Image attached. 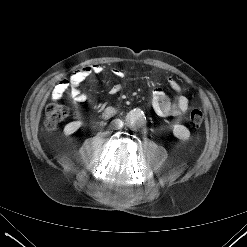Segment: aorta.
Wrapping results in <instances>:
<instances>
[{
    "label": "aorta",
    "instance_id": "aorta-1",
    "mask_svg": "<svg viewBox=\"0 0 247 247\" xmlns=\"http://www.w3.org/2000/svg\"><path fill=\"white\" fill-rule=\"evenodd\" d=\"M146 118L140 109H133L126 115V124L132 130H142L145 126Z\"/></svg>",
    "mask_w": 247,
    "mask_h": 247
}]
</instances>
